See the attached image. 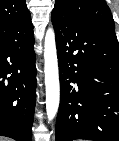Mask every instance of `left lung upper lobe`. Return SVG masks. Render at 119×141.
Segmentation results:
<instances>
[{"label":"left lung upper lobe","mask_w":119,"mask_h":141,"mask_svg":"<svg viewBox=\"0 0 119 141\" xmlns=\"http://www.w3.org/2000/svg\"><path fill=\"white\" fill-rule=\"evenodd\" d=\"M52 16L115 33L114 20L104 0H56Z\"/></svg>","instance_id":"left-lung-upper-lobe-1"}]
</instances>
